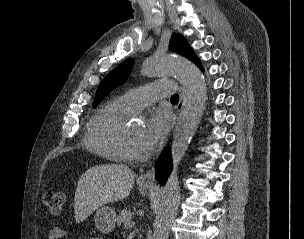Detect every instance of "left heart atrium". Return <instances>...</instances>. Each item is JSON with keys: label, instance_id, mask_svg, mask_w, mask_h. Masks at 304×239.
I'll return each instance as SVG.
<instances>
[{"label": "left heart atrium", "instance_id": "39dd6f15", "mask_svg": "<svg viewBox=\"0 0 304 239\" xmlns=\"http://www.w3.org/2000/svg\"><path fill=\"white\" fill-rule=\"evenodd\" d=\"M170 127V117L164 110H156L145 128L138 143L143 153L155 150L163 141Z\"/></svg>", "mask_w": 304, "mask_h": 239}]
</instances>
